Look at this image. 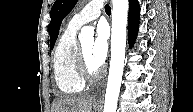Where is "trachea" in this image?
<instances>
[{
  "label": "trachea",
  "mask_w": 193,
  "mask_h": 112,
  "mask_svg": "<svg viewBox=\"0 0 193 112\" xmlns=\"http://www.w3.org/2000/svg\"><path fill=\"white\" fill-rule=\"evenodd\" d=\"M105 12L107 13V14H110L111 13V8H110V6L107 4V5H105Z\"/></svg>",
  "instance_id": "obj_1"
}]
</instances>
